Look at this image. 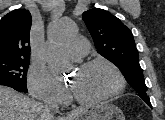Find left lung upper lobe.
<instances>
[{
	"label": "left lung upper lobe",
	"instance_id": "5c2ea615",
	"mask_svg": "<svg viewBox=\"0 0 165 120\" xmlns=\"http://www.w3.org/2000/svg\"><path fill=\"white\" fill-rule=\"evenodd\" d=\"M83 20L97 52L114 63L130 86L151 105L135 41L129 28L114 15L98 8L84 12Z\"/></svg>",
	"mask_w": 165,
	"mask_h": 120
}]
</instances>
